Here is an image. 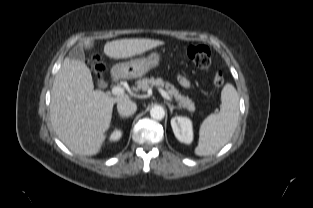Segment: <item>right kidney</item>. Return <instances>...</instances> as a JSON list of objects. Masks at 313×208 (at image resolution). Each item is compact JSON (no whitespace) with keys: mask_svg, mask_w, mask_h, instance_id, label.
Returning a JSON list of instances; mask_svg holds the SVG:
<instances>
[{"mask_svg":"<svg viewBox=\"0 0 313 208\" xmlns=\"http://www.w3.org/2000/svg\"><path fill=\"white\" fill-rule=\"evenodd\" d=\"M122 136V132L120 130H115L110 135V141H118Z\"/></svg>","mask_w":313,"mask_h":208,"instance_id":"right-kidney-1","label":"right kidney"}]
</instances>
